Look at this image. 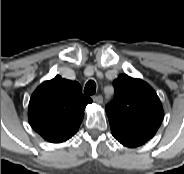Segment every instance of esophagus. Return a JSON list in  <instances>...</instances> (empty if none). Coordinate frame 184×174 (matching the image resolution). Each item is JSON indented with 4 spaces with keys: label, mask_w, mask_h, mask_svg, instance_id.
<instances>
[{
    "label": "esophagus",
    "mask_w": 184,
    "mask_h": 174,
    "mask_svg": "<svg viewBox=\"0 0 184 174\" xmlns=\"http://www.w3.org/2000/svg\"><path fill=\"white\" fill-rule=\"evenodd\" d=\"M93 101L97 104H102L103 103V97L101 95L94 96Z\"/></svg>",
    "instance_id": "esophagus-1"
}]
</instances>
